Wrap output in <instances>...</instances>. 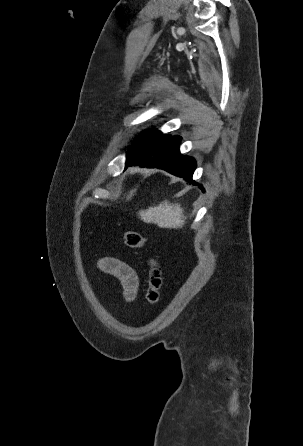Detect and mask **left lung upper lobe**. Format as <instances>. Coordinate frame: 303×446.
<instances>
[{"label":"left lung upper lobe","instance_id":"1","mask_svg":"<svg viewBox=\"0 0 303 446\" xmlns=\"http://www.w3.org/2000/svg\"><path fill=\"white\" fill-rule=\"evenodd\" d=\"M167 137H169V135H163L160 131L143 133L129 149L127 160L141 154L155 143Z\"/></svg>","mask_w":303,"mask_h":446}]
</instances>
